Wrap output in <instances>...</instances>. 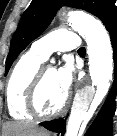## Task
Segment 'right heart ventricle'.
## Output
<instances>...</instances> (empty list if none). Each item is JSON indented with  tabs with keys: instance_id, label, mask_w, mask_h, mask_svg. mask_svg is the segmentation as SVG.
<instances>
[{
	"instance_id": "e07e8e85",
	"label": "right heart ventricle",
	"mask_w": 117,
	"mask_h": 136,
	"mask_svg": "<svg viewBox=\"0 0 117 136\" xmlns=\"http://www.w3.org/2000/svg\"><path fill=\"white\" fill-rule=\"evenodd\" d=\"M43 60L29 50L19 58L13 67L6 85V103L12 118L17 120L32 118L27 110V93Z\"/></svg>"
}]
</instances>
